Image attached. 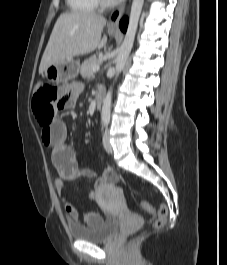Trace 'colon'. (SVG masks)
<instances>
[{
	"label": "colon",
	"instance_id": "5ec220e1",
	"mask_svg": "<svg viewBox=\"0 0 227 265\" xmlns=\"http://www.w3.org/2000/svg\"><path fill=\"white\" fill-rule=\"evenodd\" d=\"M59 99H65L59 87L40 81L36 82L32 107L42 128L48 127L53 121L56 110L59 109L57 107ZM141 207L145 212L156 215L153 221L154 228H161L164 225L168 215L165 205H160L155 209L149 203L142 202Z\"/></svg>",
	"mask_w": 227,
	"mask_h": 265
}]
</instances>
